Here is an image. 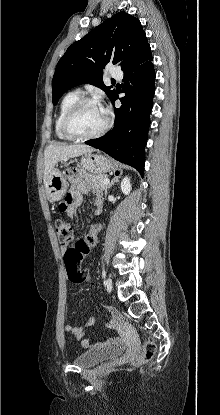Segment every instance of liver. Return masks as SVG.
<instances>
[{
    "label": "liver",
    "mask_w": 220,
    "mask_h": 415,
    "mask_svg": "<svg viewBox=\"0 0 220 415\" xmlns=\"http://www.w3.org/2000/svg\"><path fill=\"white\" fill-rule=\"evenodd\" d=\"M94 149L88 145H49L44 154V184L46 185L49 174L53 171L58 161L78 157L80 155L91 153Z\"/></svg>",
    "instance_id": "liver-1"
}]
</instances>
